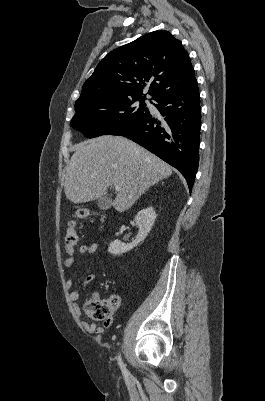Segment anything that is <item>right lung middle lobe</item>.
I'll return each instance as SVG.
<instances>
[{
    "mask_svg": "<svg viewBox=\"0 0 265 401\" xmlns=\"http://www.w3.org/2000/svg\"><path fill=\"white\" fill-rule=\"evenodd\" d=\"M141 97H101L75 106L71 126L88 138L113 134L149 115ZM139 101V107L134 102Z\"/></svg>",
    "mask_w": 265,
    "mask_h": 401,
    "instance_id": "obj_1",
    "label": "right lung middle lobe"
}]
</instances>
